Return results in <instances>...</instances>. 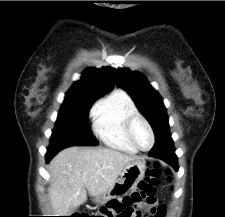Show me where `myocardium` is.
Masks as SVG:
<instances>
[{
	"mask_svg": "<svg viewBox=\"0 0 225 217\" xmlns=\"http://www.w3.org/2000/svg\"><path fill=\"white\" fill-rule=\"evenodd\" d=\"M137 122H142L150 132L151 135V145L148 148H142L138 145L135 136H134V126ZM126 135L129 142L138 150V151H149L155 144V133L149 123V121L140 113L135 112L131 114L126 120Z\"/></svg>",
	"mask_w": 225,
	"mask_h": 217,
	"instance_id": "obj_1",
	"label": "myocardium"
}]
</instances>
